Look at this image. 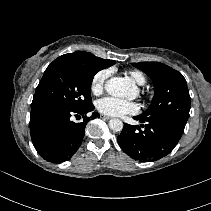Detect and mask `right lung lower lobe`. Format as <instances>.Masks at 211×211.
Masks as SVG:
<instances>
[{
    "instance_id": "right-lung-lower-lobe-1",
    "label": "right lung lower lobe",
    "mask_w": 211,
    "mask_h": 211,
    "mask_svg": "<svg viewBox=\"0 0 211 211\" xmlns=\"http://www.w3.org/2000/svg\"><path fill=\"white\" fill-rule=\"evenodd\" d=\"M93 104L81 110L57 108L32 109L30 114V133L33 145L39 155L52 163L69 160L82 143L85 124L93 117H100ZM82 116L81 122H73L72 116Z\"/></svg>"
}]
</instances>
